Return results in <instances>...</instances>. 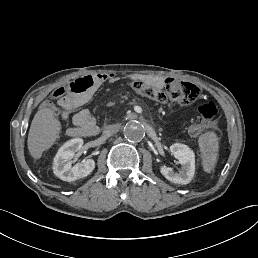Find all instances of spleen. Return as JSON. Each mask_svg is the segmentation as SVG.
Instances as JSON below:
<instances>
[{
  "instance_id": "spleen-1",
  "label": "spleen",
  "mask_w": 258,
  "mask_h": 258,
  "mask_svg": "<svg viewBox=\"0 0 258 258\" xmlns=\"http://www.w3.org/2000/svg\"><path fill=\"white\" fill-rule=\"evenodd\" d=\"M199 148L202 154V165L205 172L210 173L217 162L219 141L215 132H206L199 136Z\"/></svg>"
}]
</instances>
